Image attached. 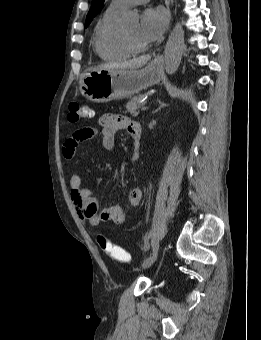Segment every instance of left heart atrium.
I'll return each instance as SVG.
<instances>
[{"label":"left heart atrium","instance_id":"1","mask_svg":"<svg viewBox=\"0 0 261 340\" xmlns=\"http://www.w3.org/2000/svg\"><path fill=\"white\" fill-rule=\"evenodd\" d=\"M169 15L165 8L149 7L141 17L140 35L147 45L159 40L168 25Z\"/></svg>","mask_w":261,"mask_h":340}]
</instances>
